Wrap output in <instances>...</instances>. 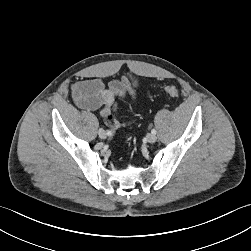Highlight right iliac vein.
I'll list each match as a JSON object with an SVG mask.
<instances>
[{"instance_id":"right-iliac-vein-1","label":"right iliac vein","mask_w":251,"mask_h":251,"mask_svg":"<svg viewBox=\"0 0 251 251\" xmlns=\"http://www.w3.org/2000/svg\"><path fill=\"white\" fill-rule=\"evenodd\" d=\"M98 135H99V137H100L101 139H105V138L107 137L106 131H105L104 129H102V128H100V129L98 130Z\"/></svg>"}]
</instances>
